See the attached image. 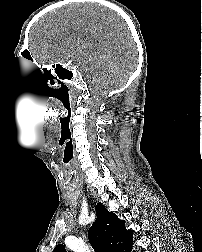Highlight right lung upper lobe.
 Returning a JSON list of instances; mask_svg holds the SVG:
<instances>
[{"label": "right lung upper lobe", "mask_w": 202, "mask_h": 252, "mask_svg": "<svg viewBox=\"0 0 202 252\" xmlns=\"http://www.w3.org/2000/svg\"><path fill=\"white\" fill-rule=\"evenodd\" d=\"M97 218L89 229L88 237L91 246L96 252H127L132 245L133 231H127L123 220L98 203L96 206ZM53 252H66L59 244Z\"/></svg>", "instance_id": "right-lung-upper-lobe-1"}]
</instances>
